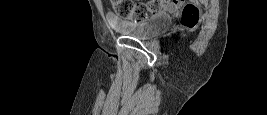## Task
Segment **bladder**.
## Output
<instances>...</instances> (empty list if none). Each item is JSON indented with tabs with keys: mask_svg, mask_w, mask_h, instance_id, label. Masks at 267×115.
<instances>
[{
	"mask_svg": "<svg viewBox=\"0 0 267 115\" xmlns=\"http://www.w3.org/2000/svg\"><path fill=\"white\" fill-rule=\"evenodd\" d=\"M172 17L166 13L149 16L147 19L134 24H117L114 26L119 33L140 40L157 37L172 24Z\"/></svg>",
	"mask_w": 267,
	"mask_h": 115,
	"instance_id": "obj_1",
	"label": "bladder"
}]
</instances>
